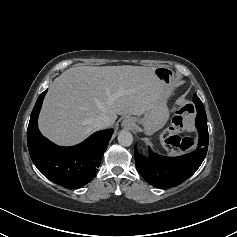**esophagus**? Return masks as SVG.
<instances>
[{
	"instance_id": "esophagus-1",
	"label": "esophagus",
	"mask_w": 237,
	"mask_h": 237,
	"mask_svg": "<svg viewBox=\"0 0 237 237\" xmlns=\"http://www.w3.org/2000/svg\"><path fill=\"white\" fill-rule=\"evenodd\" d=\"M135 124V120L132 117H126L123 121H122V127L124 129H131Z\"/></svg>"
}]
</instances>
